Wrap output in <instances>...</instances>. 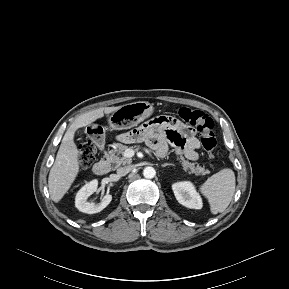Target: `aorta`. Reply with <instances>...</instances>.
Instances as JSON below:
<instances>
[{"mask_svg": "<svg viewBox=\"0 0 289 289\" xmlns=\"http://www.w3.org/2000/svg\"><path fill=\"white\" fill-rule=\"evenodd\" d=\"M156 174V171L153 167H146L144 170H143V175L145 178L147 179H151L155 176Z\"/></svg>", "mask_w": 289, "mask_h": 289, "instance_id": "aorta-1", "label": "aorta"}]
</instances>
